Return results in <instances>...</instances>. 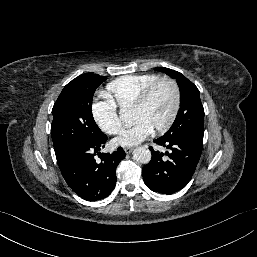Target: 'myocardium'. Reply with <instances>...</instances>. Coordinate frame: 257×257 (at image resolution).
I'll use <instances>...</instances> for the list:
<instances>
[{"instance_id":"myocardium-1","label":"myocardium","mask_w":257,"mask_h":257,"mask_svg":"<svg viewBox=\"0 0 257 257\" xmlns=\"http://www.w3.org/2000/svg\"><path fill=\"white\" fill-rule=\"evenodd\" d=\"M164 83L169 84L172 87L174 102L169 118L162 126L155 129L156 133H164L168 131L177 118L181 106V91L178 83L174 79L169 77L158 78L156 81L151 83L147 88L142 91L136 102L131 106V110H137L144 107L149 101L152 94L155 92V90Z\"/></svg>"}]
</instances>
